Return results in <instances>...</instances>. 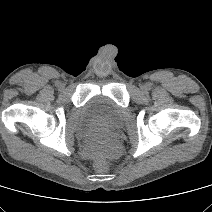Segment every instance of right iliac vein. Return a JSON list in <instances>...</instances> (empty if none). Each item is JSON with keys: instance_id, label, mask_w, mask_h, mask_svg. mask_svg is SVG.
Masks as SVG:
<instances>
[{"instance_id": "63e3f726", "label": "right iliac vein", "mask_w": 212, "mask_h": 212, "mask_svg": "<svg viewBox=\"0 0 212 212\" xmlns=\"http://www.w3.org/2000/svg\"><path fill=\"white\" fill-rule=\"evenodd\" d=\"M58 87H59V89H62V88H63L62 84H59V86H58Z\"/></svg>"}]
</instances>
